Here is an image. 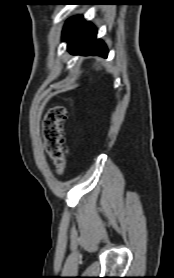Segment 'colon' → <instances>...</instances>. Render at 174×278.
Instances as JSON below:
<instances>
[{
    "mask_svg": "<svg viewBox=\"0 0 174 278\" xmlns=\"http://www.w3.org/2000/svg\"><path fill=\"white\" fill-rule=\"evenodd\" d=\"M66 115V108L62 105H57L49 109L43 120L45 149L58 172H63L66 167L67 151L64 147L63 137V123Z\"/></svg>",
    "mask_w": 174,
    "mask_h": 278,
    "instance_id": "obj_1",
    "label": "colon"
}]
</instances>
